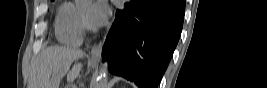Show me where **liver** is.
<instances>
[{"mask_svg": "<svg viewBox=\"0 0 267 88\" xmlns=\"http://www.w3.org/2000/svg\"><path fill=\"white\" fill-rule=\"evenodd\" d=\"M84 52L65 46H52L43 50L33 63L28 88H59L62 77L73 81L82 69L81 63L71 64L82 58Z\"/></svg>", "mask_w": 267, "mask_h": 88, "instance_id": "1", "label": "liver"}]
</instances>
